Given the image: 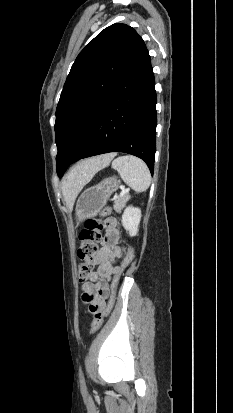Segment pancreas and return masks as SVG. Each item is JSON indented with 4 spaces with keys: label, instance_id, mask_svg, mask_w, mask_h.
I'll list each match as a JSON object with an SVG mask.
<instances>
[{
    "label": "pancreas",
    "instance_id": "cf45deb5",
    "mask_svg": "<svg viewBox=\"0 0 233 413\" xmlns=\"http://www.w3.org/2000/svg\"><path fill=\"white\" fill-rule=\"evenodd\" d=\"M128 199H129V196L127 195L118 197L114 202V210L118 213L121 212V210L125 206V203L127 202Z\"/></svg>",
    "mask_w": 233,
    "mask_h": 413
}]
</instances>
